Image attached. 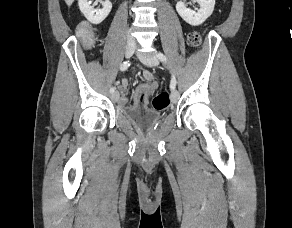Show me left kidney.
Instances as JSON below:
<instances>
[{
    "instance_id": "left-kidney-1",
    "label": "left kidney",
    "mask_w": 292,
    "mask_h": 228,
    "mask_svg": "<svg viewBox=\"0 0 292 228\" xmlns=\"http://www.w3.org/2000/svg\"><path fill=\"white\" fill-rule=\"evenodd\" d=\"M200 5L197 12L186 7L183 1L176 4V10L181 18L192 26H198L212 14L215 0H196Z\"/></svg>"
}]
</instances>
